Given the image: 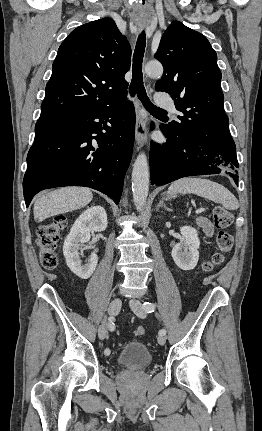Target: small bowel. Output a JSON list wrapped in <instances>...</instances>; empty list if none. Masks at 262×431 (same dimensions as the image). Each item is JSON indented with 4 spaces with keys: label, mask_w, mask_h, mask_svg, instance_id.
Returning a JSON list of instances; mask_svg holds the SVG:
<instances>
[{
    "label": "small bowel",
    "mask_w": 262,
    "mask_h": 431,
    "mask_svg": "<svg viewBox=\"0 0 262 431\" xmlns=\"http://www.w3.org/2000/svg\"><path fill=\"white\" fill-rule=\"evenodd\" d=\"M198 224L200 228L208 235L212 236L214 233V225L213 223L205 217H201L198 219Z\"/></svg>",
    "instance_id": "small-bowel-1"
}]
</instances>
